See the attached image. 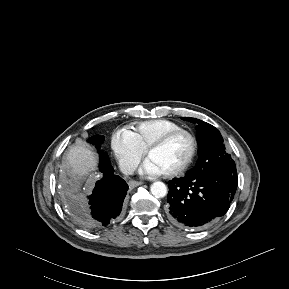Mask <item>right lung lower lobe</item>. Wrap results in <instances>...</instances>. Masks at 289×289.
Returning a JSON list of instances; mask_svg holds the SVG:
<instances>
[{"mask_svg":"<svg viewBox=\"0 0 289 289\" xmlns=\"http://www.w3.org/2000/svg\"><path fill=\"white\" fill-rule=\"evenodd\" d=\"M100 171L103 179L96 182L92 194L88 197L89 208L82 209V223L95 229L109 226L120 218L128 191L127 183L113 174L114 169L104 153L100 154Z\"/></svg>","mask_w":289,"mask_h":289,"instance_id":"right-lung-lower-lobe-1","label":"right lung lower lobe"}]
</instances>
